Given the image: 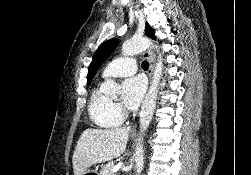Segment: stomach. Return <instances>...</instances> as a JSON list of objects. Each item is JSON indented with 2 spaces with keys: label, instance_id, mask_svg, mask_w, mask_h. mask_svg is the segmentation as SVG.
I'll use <instances>...</instances> for the list:
<instances>
[{
  "label": "stomach",
  "instance_id": "0dacf381",
  "mask_svg": "<svg viewBox=\"0 0 251 175\" xmlns=\"http://www.w3.org/2000/svg\"><path fill=\"white\" fill-rule=\"evenodd\" d=\"M96 169H90V167H88V169H86V171H84V173H81V175H99L98 171H97V165H95Z\"/></svg>",
  "mask_w": 251,
  "mask_h": 175
}]
</instances>
